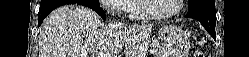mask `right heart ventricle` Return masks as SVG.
Wrapping results in <instances>:
<instances>
[{"instance_id": "e07e8e85", "label": "right heart ventricle", "mask_w": 249, "mask_h": 57, "mask_svg": "<svg viewBox=\"0 0 249 57\" xmlns=\"http://www.w3.org/2000/svg\"><path fill=\"white\" fill-rule=\"evenodd\" d=\"M127 11L134 19H143L145 15L141 12L140 0H129L127 2Z\"/></svg>"}]
</instances>
